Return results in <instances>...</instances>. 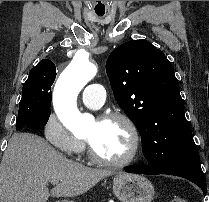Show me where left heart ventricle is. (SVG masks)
<instances>
[{
	"mask_svg": "<svg viewBox=\"0 0 209 202\" xmlns=\"http://www.w3.org/2000/svg\"><path fill=\"white\" fill-rule=\"evenodd\" d=\"M85 138L92 142L101 156L113 161L128 156L132 148L130 131L120 121L104 123L95 121L89 128Z\"/></svg>",
	"mask_w": 209,
	"mask_h": 202,
	"instance_id": "1",
	"label": "left heart ventricle"
}]
</instances>
